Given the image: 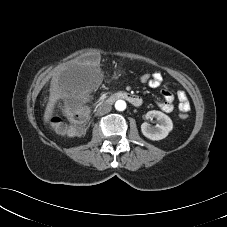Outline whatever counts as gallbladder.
Listing matches in <instances>:
<instances>
[{
	"label": "gallbladder",
	"mask_w": 227,
	"mask_h": 227,
	"mask_svg": "<svg viewBox=\"0 0 227 227\" xmlns=\"http://www.w3.org/2000/svg\"><path fill=\"white\" fill-rule=\"evenodd\" d=\"M87 59L93 60L94 62L98 61V57L97 56L87 57Z\"/></svg>",
	"instance_id": "1"
}]
</instances>
